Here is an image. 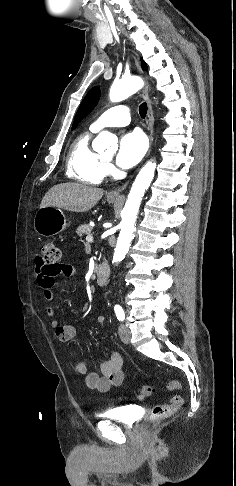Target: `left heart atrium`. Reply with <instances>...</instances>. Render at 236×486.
Masks as SVG:
<instances>
[{"instance_id": "left-heart-atrium-1", "label": "left heart atrium", "mask_w": 236, "mask_h": 486, "mask_svg": "<svg viewBox=\"0 0 236 486\" xmlns=\"http://www.w3.org/2000/svg\"><path fill=\"white\" fill-rule=\"evenodd\" d=\"M146 149V139L139 131H132L123 135L119 142L116 157L117 165L124 169L133 167L142 159Z\"/></svg>"}]
</instances>
